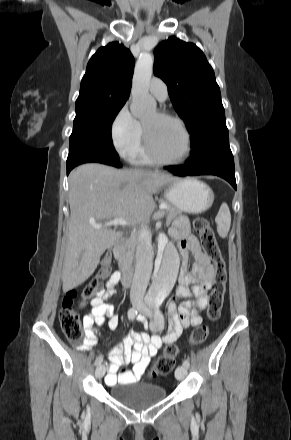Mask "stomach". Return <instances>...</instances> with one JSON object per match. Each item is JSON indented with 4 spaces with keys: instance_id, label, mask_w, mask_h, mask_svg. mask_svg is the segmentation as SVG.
I'll return each mask as SVG.
<instances>
[{
    "instance_id": "stomach-1",
    "label": "stomach",
    "mask_w": 291,
    "mask_h": 440,
    "mask_svg": "<svg viewBox=\"0 0 291 440\" xmlns=\"http://www.w3.org/2000/svg\"><path fill=\"white\" fill-rule=\"evenodd\" d=\"M164 197L179 210L200 214L208 210L214 201L213 190L195 178L175 179L164 187Z\"/></svg>"
}]
</instances>
